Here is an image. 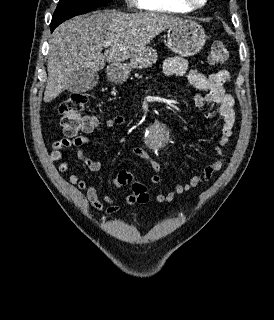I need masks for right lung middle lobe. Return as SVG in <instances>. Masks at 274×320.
<instances>
[{
    "label": "right lung middle lobe",
    "instance_id": "right-lung-middle-lobe-1",
    "mask_svg": "<svg viewBox=\"0 0 274 320\" xmlns=\"http://www.w3.org/2000/svg\"><path fill=\"white\" fill-rule=\"evenodd\" d=\"M112 0H60L50 26H58L74 16L90 12Z\"/></svg>",
    "mask_w": 274,
    "mask_h": 320
}]
</instances>
